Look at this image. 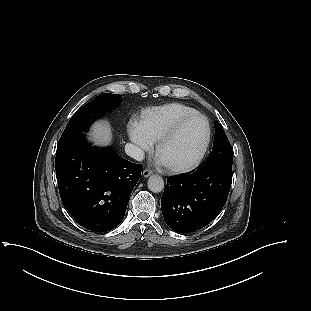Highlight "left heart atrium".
Returning a JSON list of instances; mask_svg holds the SVG:
<instances>
[{
    "label": "left heart atrium",
    "mask_w": 311,
    "mask_h": 311,
    "mask_svg": "<svg viewBox=\"0 0 311 311\" xmlns=\"http://www.w3.org/2000/svg\"><path fill=\"white\" fill-rule=\"evenodd\" d=\"M158 162L164 165L163 161L159 157H158Z\"/></svg>",
    "instance_id": "39dd6f15"
}]
</instances>
